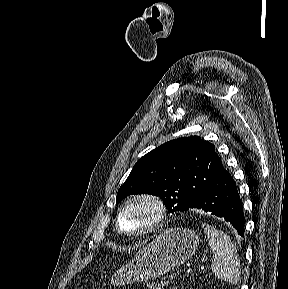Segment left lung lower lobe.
I'll return each mask as SVG.
<instances>
[{
    "instance_id": "left-lung-lower-lobe-1",
    "label": "left lung lower lobe",
    "mask_w": 288,
    "mask_h": 289,
    "mask_svg": "<svg viewBox=\"0 0 288 289\" xmlns=\"http://www.w3.org/2000/svg\"><path fill=\"white\" fill-rule=\"evenodd\" d=\"M194 208L223 217L232 224L239 235H244V214L241 199L235 181L225 169L188 207V209Z\"/></svg>"
}]
</instances>
